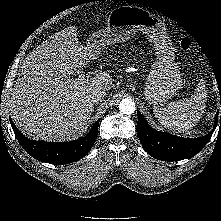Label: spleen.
Wrapping results in <instances>:
<instances>
[{
    "instance_id": "3e777b00",
    "label": "spleen",
    "mask_w": 221,
    "mask_h": 221,
    "mask_svg": "<svg viewBox=\"0 0 221 221\" xmlns=\"http://www.w3.org/2000/svg\"><path fill=\"white\" fill-rule=\"evenodd\" d=\"M207 91L201 79L194 94L183 100L169 103L166 107L155 106L153 112L158 121L176 133L192 129L203 115Z\"/></svg>"
}]
</instances>
